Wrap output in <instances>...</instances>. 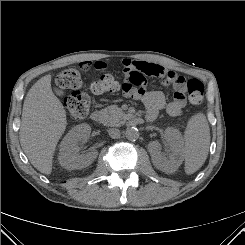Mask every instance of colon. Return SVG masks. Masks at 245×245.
Wrapping results in <instances>:
<instances>
[{
	"mask_svg": "<svg viewBox=\"0 0 245 245\" xmlns=\"http://www.w3.org/2000/svg\"><path fill=\"white\" fill-rule=\"evenodd\" d=\"M131 81L135 85H141L144 77L139 73H134L131 76ZM57 85L66 90H72V94L65 100L67 114L72 119L85 118L90 110L89 97L80 90L81 78L77 70L67 69L60 73L57 78ZM119 88L118 82L113 75L106 73L99 76L92 83V91L95 94H103L116 91ZM188 98L191 104L199 105L204 97V85L196 78L187 81Z\"/></svg>",
	"mask_w": 245,
	"mask_h": 245,
	"instance_id": "colon-1",
	"label": "colon"
}]
</instances>
